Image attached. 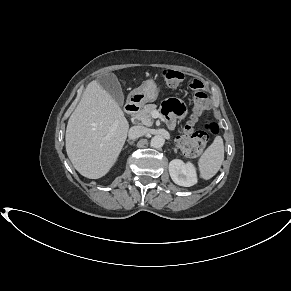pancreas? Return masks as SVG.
<instances>
[{
    "instance_id": "obj_1",
    "label": "pancreas",
    "mask_w": 291,
    "mask_h": 291,
    "mask_svg": "<svg viewBox=\"0 0 291 291\" xmlns=\"http://www.w3.org/2000/svg\"><path fill=\"white\" fill-rule=\"evenodd\" d=\"M157 105L147 104L144 108L136 115V118L146 126L152 125V113L156 111Z\"/></svg>"
}]
</instances>
